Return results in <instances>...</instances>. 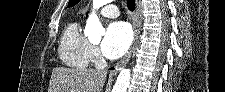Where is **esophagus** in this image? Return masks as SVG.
<instances>
[{
  "mask_svg": "<svg viewBox=\"0 0 225 92\" xmlns=\"http://www.w3.org/2000/svg\"><path fill=\"white\" fill-rule=\"evenodd\" d=\"M133 24H134L133 42H132L129 50L125 54V56L116 64L115 68L111 71V74L118 73V71L129 62V60L131 58V55H132V52L137 45L138 36L140 34L139 4H138L137 1H136V13H135V16H134Z\"/></svg>",
  "mask_w": 225,
  "mask_h": 92,
  "instance_id": "esophagus-1",
  "label": "esophagus"
}]
</instances>
